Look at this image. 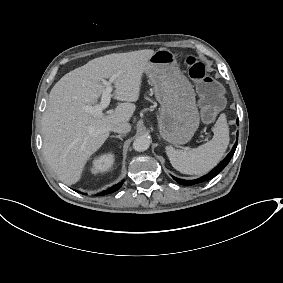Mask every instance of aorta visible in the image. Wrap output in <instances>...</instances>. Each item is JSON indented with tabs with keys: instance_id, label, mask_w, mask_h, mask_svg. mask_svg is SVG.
I'll use <instances>...</instances> for the list:
<instances>
[{
	"instance_id": "1",
	"label": "aorta",
	"mask_w": 283,
	"mask_h": 283,
	"mask_svg": "<svg viewBox=\"0 0 283 283\" xmlns=\"http://www.w3.org/2000/svg\"><path fill=\"white\" fill-rule=\"evenodd\" d=\"M149 146L150 140L147 136H139L133 142V148L138 152H143L147 150Z\"/></svg>"
}]
</instances>
